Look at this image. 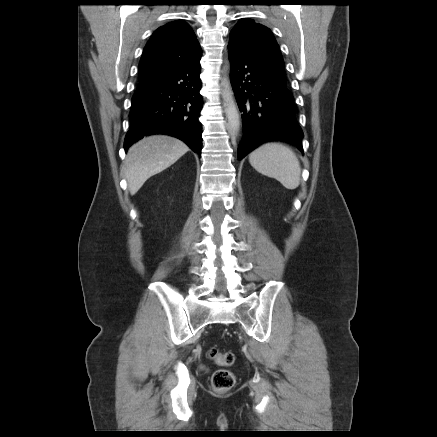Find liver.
Masks as SVG:
<instances>
[{
  "label": "liver",
  "mask_w": 437,
  "mask_h": 437,
  "mask_svg": "<svg viewBox=\"0 0 437 437\" xmlns=\"http://www.w3.org/2000/svg\"><path fill=\"white\" fill-rule=\"evenodd\" d=\"M187 151L184 142L167 135L144 137L133 144L123 169L130 194H136L151 176L173 165Z\"/></svg>",
  "instance_id": "liver-1"
}]
</instances>
